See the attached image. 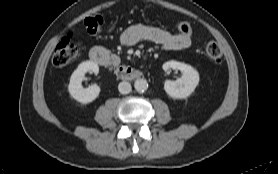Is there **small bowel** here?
Segmentation results:
<instances>
[{
    "mask_svg": "<svg viewBox=\"0 0 278 174\" xmlns=\"http://www.w3.org/2000/svg\"><path fill=\"white\" fill-rule=\"evenodd\" d=\"M120 41L127 46L148 41L158 44L166 50L174 51L187 49L192 44L191 36L171 33L158 27L143 24L129 26L122 32Z\"/></svg>",
    "mask_w": 278,
    "mask_h": 174,
    "instance_id": "obj_1",
    "label": "small bowel"
}]
</instances>
